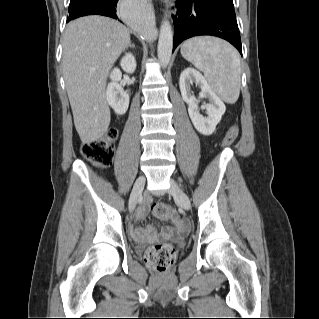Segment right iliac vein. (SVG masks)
Segmentation results:
<instances>
[{
  "label": "right iliac vein",
  "mask_w": 319,
  "mask_h": 319,
  "mask_svg": "<svg viewBox=\"0 0 319 319\" xmlns=\"http://www.w3.org/2000/svg\"><path fill=\"white\" fill-rule=\"evenodd\" d=\"M144 185H145V178L143 176L138 177V179L136 180V182L134 184V187L132 189L130 199H129V207H130L131 211L134 210V208L137 204V200H138L140 194L142 193Z\"/></svg>",
  "instance_id": "1"
}]
</instances>
